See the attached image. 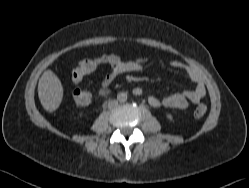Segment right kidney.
Here are the masks:
<instances>
[{"label":"right kidney","instance_id":"obj_1","mask_svg":"<svg viewBox=\"0 0 249 188\" xmlns=\"http://www.w3.org/2000/svg\"><path fill=\"white\" fill-rule=\"evenodd\" d=\"M82 115H83V113H80V114H79V117H82Z\"/></svg>","mask_w":249,"mask_h":188}]
</instances>
